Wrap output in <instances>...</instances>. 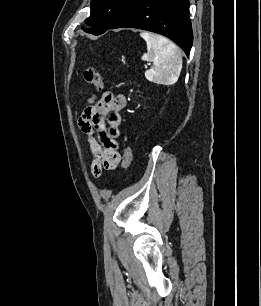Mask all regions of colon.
<instances>
[{"label":"colon","mask_w":261,"mask_h":306,"mask_svg":"<svg viewBox=\"0 0 261 306\" xmlns=\"http://www.w3.org/2000/svg\"><path fill=\"white\" fill-rule=\"evenodd\" d=\"M84 80L94 86L95 88L101 90L103 88V79L98 70L94 68H87L83 71ZM133 159L132 150L129 147H126L123 151V162L122 165L125 169H128L131 166Z\"/></svg>","instance_id":"5ec220e1"}]
</instances>
